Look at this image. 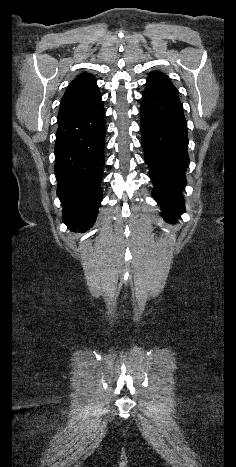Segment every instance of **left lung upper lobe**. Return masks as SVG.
Segmentation results:
<instances>
[{
  "mask_svg": "<svg viewBox=\"0 0 236 467\" xmlns=\"http://www.w3.org/2000/svg\"><path fill=\"white\" fill-rule=\"evenodd\" d=\"M147 88L159 92L177 93L178 90L164 73L154 71L147 78Z\"/></svg>",
  "mask_w": 236,
  "mask_h": 467,
  "instance_id": "1",
  "label": "left lung upper lobe"
}]
</instances>
